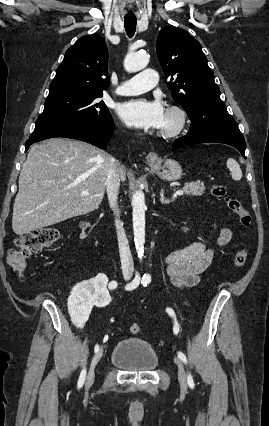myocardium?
I'll use <instances>...</instances> for the list:
<instances>
[{
	"label": "myocardium",
	"mask_w": 269,
	"mask_h": 426,
	"mask_svg": "<svg viewBox=\"0 0 269 426\" xmlns=\"http://www.w3.org/2000/svg\"><path fill=\"white\" fill-rule=\"evenodd\" d=\"M166 115L171 119V123L169 126L161 128L159 135L165 139L175 138L186 128L188 115L182 107L176 105L170 106Z\"/></svg>",
	"instance_id": "obj_1"
}]
</instances>
